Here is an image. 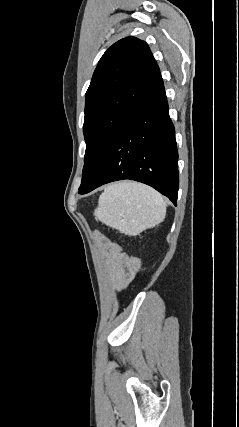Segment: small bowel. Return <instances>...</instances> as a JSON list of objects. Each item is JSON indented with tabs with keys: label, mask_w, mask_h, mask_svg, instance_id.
<instances>
[{
	"label": "small bowel",
	"mask_w": 239,
	"mask_h": 427,
	"mask_svg": "<svg viewBox=\"0 0 239 427\" xmlns=\"http://www.w3.org/2000/svg\"><path fill=\"white\" fill-rule=\"evenodd\" d=\"M99 240L110 265L112 281L118 290H122L134 279L139 261L123 251L118 244L101 237Z\"/></svg>",
	"instance_id": "small-bowel-1"
}]
</instances>
